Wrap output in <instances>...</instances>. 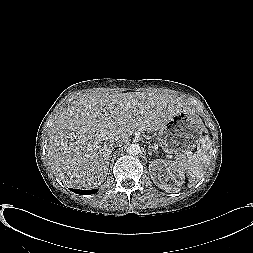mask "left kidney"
<instances>
[{
  "instance_id": "5707ae66",
  "label": "left kidney",
  "mask_w": 253,
  "mask_h": 253,
  "mask_svg": "<svg viewBox=\"0 0 253 253\" xmlns=\"http://www.w3.org/2000/svg\"><path fill=\"white\" fill-rule=\"evenodd\" d=\"M152 179L158 187L166 192H178L184 183L185 176L179 172L172 163L158 159L151 162ZM167 181H170L167 183Z\"/></svg>"
}]
</instances>
